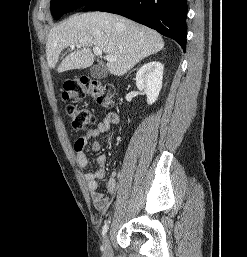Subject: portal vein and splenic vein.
<instances>
[{"instance_id": "18ae733b", "label": "portal vein and splenic vein", "mask_w": 247, "mask_h": 257, "mask_svg": "<svg viewBox=\"0 0 247 257\" xmlns=\"http://www.w3.org/2000/svg\"><path fill=\"white\" fill-rule=\"evenodd\" d=\"M74 47H75V45L72 46V49ZM76 47H80V45L77 44ZM93 52H94L95 55H102V50L98 47H93ZM105 58H106L107 61H110V62L115 61V58L111 55H106Z\"/></svg>"}]
</instances>
